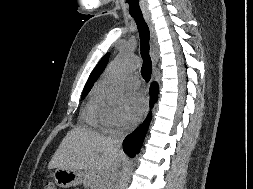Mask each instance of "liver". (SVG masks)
Masks as SVG:
<instances>
[{"label":"liver","mask_w":253,"mask_h":189,"mask_svg":"<svg viewBox=\"0 0 253 189\" xmlns=\"http://www.w3.org/2000/svg\"><path fill=\"white\" fill-rule=\"evenodd\" d=\"M125 154L116 152L110 138L90 129L76 127L70 130L52 156L48 168L83 170L84 176L96 174L101 178L96 189H109L104 180L110 170L125 160Z\"/></svg>","instance_id":"6515ba94"}]
</instances>
